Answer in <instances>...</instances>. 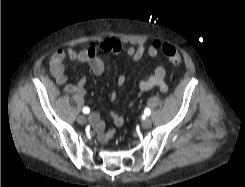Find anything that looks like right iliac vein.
<instances>
[{
	"label": "right iliac vein",
	"instance_id": "1",
	"mask_svg": "<svg viewBox=\"0 0 245 187\" xmlns=\"http://www.w3.org/2000/svg\"><path fill=\"white\" fill-rule=\"evenodd\" d=\"M77 121L79 124H84L86 122V118L83 115L78 116Z\"/></svg>",
	"mask_w": 245,
	"mask_h": 187
}]
</instances>
